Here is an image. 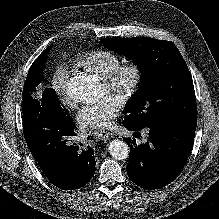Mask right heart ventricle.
<instances>
[{"label": "right heart ventricle", "mask_w": 219, "mask_h": 219, "mask_svg": "<svg viewBox=\"0 0 219 219\" xmlns=\"http://www.w3.org/2000/svg\"><path fill=\"white\" fill-rule=\"evenodd\" d=\"M77 64L103 80L121 64V60L110 51L95 50L80 57Z\"/></svg>", "instance_id": "right-heart-ventricle-1"}]
</instances>
